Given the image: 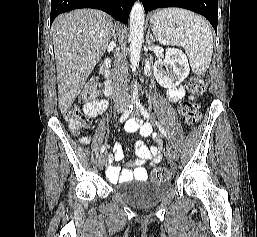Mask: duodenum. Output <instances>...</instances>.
Returning <instances> with one entry per match:
<instances>
[{"label": "duodenum", "mask_w": 257, "mask_h": 237, "mask_svg": "<svg viewBox=\"0 0 257 237\" xmlns=\"http://www.w3.org/2000/svg\"><path fill=\"white\" fill-rule=\"evenodd\" d=\"M110 60H105L102 69V76L104 78V90L106 95L111 94V74L109 71Z\"/></svg>", "instance_id": "410a0bca"}]
</instances>
